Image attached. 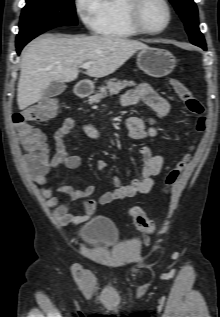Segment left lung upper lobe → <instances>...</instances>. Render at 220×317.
I'll return each mask as SVG.
<instances>
[{
	"instance_id": "left-lung-upper-lobe-1",
	"label": "left lung upper lobe",
	"mask_w": 220,
	"mask_h": 317,
	"mask_svg": "<svg viewBox=\"0 0 220 317\" xmlns=\"http://www.w3.org/2000/svg\"><path fill=\"white\" fill-rule=\"evenodd\" d=\"M183 20L190 41L197 46L206 45L198 27V11L193 0H170Z\"/></svg>"
}]
</instances>
